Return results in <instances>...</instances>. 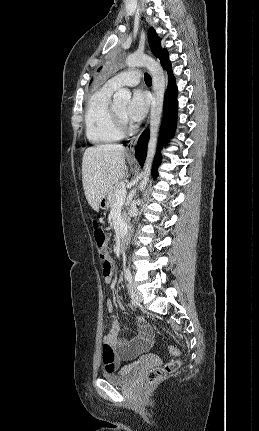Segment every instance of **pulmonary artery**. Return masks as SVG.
<instances>
[{
	"instance_id": "e3ab8cb5",
	"label": "pulmonary artery",
	"mask_w": 259,
	"mask_h": 431,
	"mask_svg": "<svg viewBox=\"0 0 259 431\" xmlns=\"http://www.w3.org/2000/svg\"><path fill=\"white\" fill-rule=\"evenodd\" d=\"M141 79L140 72L136 69H132L123 73H120L111 78L107 85L113 88H119L121 86H136Z\"/></svg>"
}]
</instances>
